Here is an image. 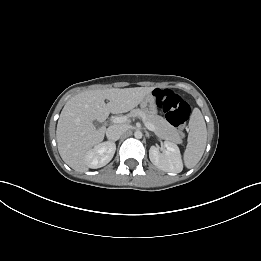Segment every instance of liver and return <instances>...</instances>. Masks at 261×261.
<instances>
[{
    "instance_id": "obj_1",
    "label": "liver",
    "mask_w": 261,
    "mask_h": 261,
    "mask_svg": "<svg viewBox=\"0 0 261 261\" xmlns=\"http://www.w3.org/2000/svg\"><path fill=\"white\" fill-rule=\"evenodd\" d=\"M154 87L111 88L81 92L67 101L61 111L56 139L63 161L78 172L88 170L86 154L104 139L105 129L93 122H103L110 113L128 112L142 102ZM109 100L105 103V100Z\"/></svg>"
}]
</instances>
